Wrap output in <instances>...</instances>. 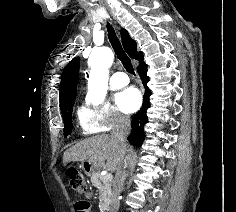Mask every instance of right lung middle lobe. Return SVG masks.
Returning <instances> with one entry per match:
<instances>
[{
  "label": "right lung middle lobe",
  "instance_id": "obj_1",
  "mask_svg": "<svg viewBox=\"0 0 236 212\" xmlns=\"http://www.w3.org/2000/svg\"><path fill=\"white\" fill-rule=\"evenodd\" d=\"M74 101H75V98L67 100L61 106V112H62L63 121H64V136L65 137L71 134V131H72L71 114H72Z\"/></svg>",
  "mask_w": 236,
  "mask_h": 212
}]
</instances>
